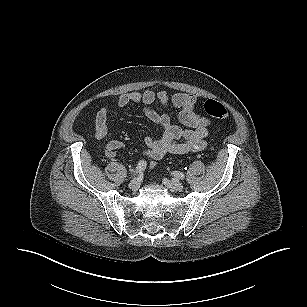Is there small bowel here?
I'll return each mask as SVG.
<instances>
[{"label":"small bowel","instance_id":"small-bowel-1","mask_svg":"<svg viewBox=\"0 0 307 307\" xmlns=\"http://www.w3.org/2000/svg\"><path fill=\"white\" fill-rule=\"evenodd\" d=\"M156 101L163 106L172 105L177 108L179 120L187 128H180L172 123L167 114L152 108L151 105ZM130 104L145 105L144 113L147 118L162 130L159 137L147 136L145 138L147 146L145 155L150 159V166L155 165L167 154H188L204 149L211 120L196 113L197 99L194 96L187 93L169 95L164 90L153 91L148 89L143 92L124 93L119 97L118 105L120 107ZM107 121L108 110L104 107L95 116V137L99 140L106 138L108 135ZM123 147L124 144L120 140L106 141L103 145L104 154L106 157H113Z\"/></svg>","mask_w":307,"mask_h":307}]
</instances>
